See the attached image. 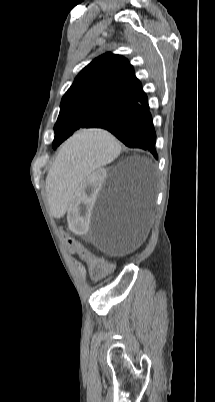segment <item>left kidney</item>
Listing matches in <instances>:
<instances>
[{
  "mask_svg": "<svg viewBox=\"0 0 215 402\" xmlns=\"http://www.w3.org/2000/svg\"><path fill=\"white\" fill-rule=\"evenodd\" d=\"M107 172L105 169H98L93 178H88L82 184L79 193H75L71 204L68 225L72 226V234L77 239L82 240L85 237L84 232L88 229V222L91 221L90 202H94L97 193H100L102 179L105 178Z\"/></svg>",
  "mask_w": 215,
  "mask_h": 402,
  "instance_id": "left-kidney-1",
  "label": "left kidney"
}]
</instances>
